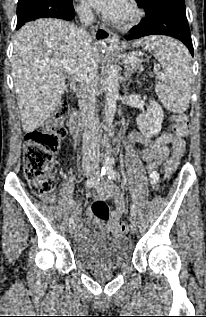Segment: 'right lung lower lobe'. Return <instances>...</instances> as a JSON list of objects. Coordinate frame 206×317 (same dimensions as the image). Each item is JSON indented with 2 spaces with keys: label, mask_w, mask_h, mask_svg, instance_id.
Segmentation results:
<instances>
[{
  "label": "right lung lower lobe",
  "mask_w": 206,
  "mask_h": 317,
  "mask_svg": "<svg viewBox=\"0 0 206 317\" xmlns=\"http://www.w3.org/2000/svg\"><path fill=\"white\" fill-rule=\"evenodd\" d=\"M58 16L57 18L65 19V20H71L74 18L75 13L73 9L72 3L67 8H61L57 10L56 13Z\"/></svg>",
  "instance_id": "98d812e1"
}]
</instances>
